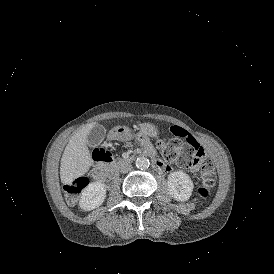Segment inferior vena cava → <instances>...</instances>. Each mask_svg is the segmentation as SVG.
<instances>
[{
    "mask_svg": "<svg viewBox=\"0 0 274 274\" xmlns=\"http://www.w3.org/2000/svg\"><path fill=\"white\" fill-rule=\"evenodd\" d=\"M132 170V166L130 164H124L120 167V172L122 173H128Z\"/></svg>",
    "mask_w": 274,
    "mask_h": 274,
    "instance_id": "602c4592",
    "label": "inferior vena cava"
}]
</instances>
